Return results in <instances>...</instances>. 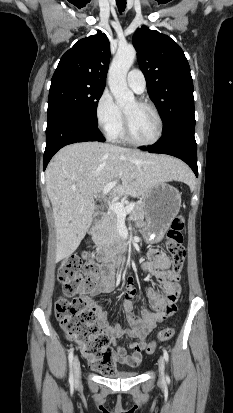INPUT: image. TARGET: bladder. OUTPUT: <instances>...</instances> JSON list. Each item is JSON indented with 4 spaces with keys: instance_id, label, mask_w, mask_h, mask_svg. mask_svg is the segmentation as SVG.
Segmentation results:
<instances>
[{
    "instance_id": "31cf9c89",
    "label": "bladder",
    "mask_w": 233,
    "mask_h": 413,
    "mask_svg": "<svg viewBox=\"0 0 233 413\" xmlns=\"http://www.w3.org/2000/svg\"><path fill=\"white\" fill-rule=\"evenodd\" d=\"M138 374L139 373L137 371H116L106 376L107 378H110V379H128V378H134L138 376Z\"/></svg>"
}]
</instances>
